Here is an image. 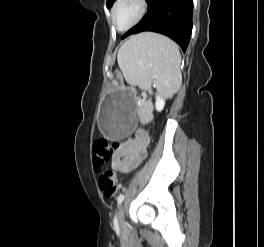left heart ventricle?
I'll use <instances>...</instances> for the list:
<instances>
[{
  "label": "left heart ventricle",
  "instance_id": "1",
  "mask_svg": "<svg viewBox=\"0 0 264 247\" xmlns=\"http://www.w3.org/2000/svg\"><path fill=\"white\" fill-rule=\"evenodd\" d=\"M138 13V6L135 0H125L115 12V23L123 28L129 25Z\"/></svg>",
  "mask_w": 264,
  "mask_h": 247
}]
</instances>
